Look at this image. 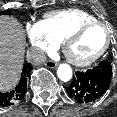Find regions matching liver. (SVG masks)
<instances>
[{
  "instance_id": "6515ba94",
  "label": "liver",
  "mask_w": 117,
  "mask_h": 117,
  "mask_svg": "<svg viewBox=\"0 0 117 117\" xmlns=\"http://www.w3.org/2000/svg\"><path fill=\"white\" fill-rule=\"evenodd\" d=\"M25 31L20 22L0 16V91L17 83L23 66Z\"/></svg>"
}]
</instances>
